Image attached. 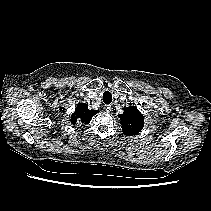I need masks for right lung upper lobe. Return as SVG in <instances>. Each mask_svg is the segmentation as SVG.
I'll return each instance as SVG.
<instances>
[{
	"instance_id": "cb5924a9",
	"label": "right lung upper lobe",
	"mask_w": 211,
	"mask_h": 211,
	"mask_svg": "<svg viewBox=\"0 0 211 211\" xmlns=\"http://www.w3.org/2000/svg\"><path fill=\"white\" fill-rule=\"evenodd\" d=\"M97 112V110H90L88 105L79 103L72 114L71 123L74 125L78 122L87 124Z\"/></svg>"
}]
</instances>
